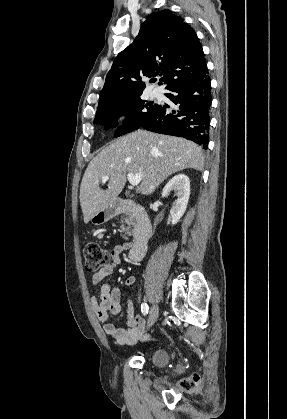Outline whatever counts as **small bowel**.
<instances>
[{"instance_id":"obj_1","label":"small bowel","mask_w":287,"mask_h":419,"mask_svg":"<svg viewBox=\"0 0 287 419\" xmlns=\"http://www.w3.org/2000/svg\"><path fill=\"white\" fill-rule=\"evenodd\" d=\"M132 247L131 243L117 245L111 252V262L101 268L92 276L94 287L100 285L99 299L96 296L91 297V303L97 318L103 323L104 331L119 345H133L143 337L145 331V322L142 315H136L134 311V302L129 299L127 302V325L128 328L116 327L109 320L110 315H118L121 312V293L118 287H112L102 280L111 275L120 263V255ZM127 287L132 288L135 284V277L129 276L125 280Z\"/></svg>"}]
</instances>
